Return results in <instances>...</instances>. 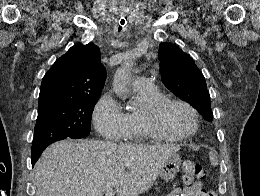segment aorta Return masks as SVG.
<instances>
[{
    "label": "aorta",
    "instance_id": "obj_1",
    "mask_svg": "<svg viewBox=\"0 0 260 196\" xmlns=\"http://www.w3.org/2000/svg\"><path fill=\"white\" fill-rule=\"evenodd\" d=\"M133 63L131 60L124 62L121 67L117 69L113 77V90L121 98H125L128 93V84L131 76V67Z\"/></svg>",
    "mask_w": 260,
    "mask_h": 196
}]
</instances>
